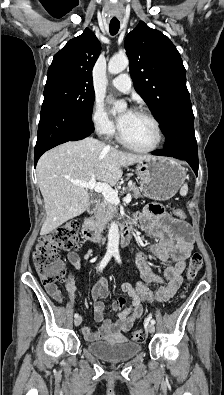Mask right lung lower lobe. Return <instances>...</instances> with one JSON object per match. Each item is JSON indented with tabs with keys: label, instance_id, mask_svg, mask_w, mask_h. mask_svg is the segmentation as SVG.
I'll list each match as a JSON object with an SVG mask.
<instances>
[{
	"label": "right lung lower lobe",
	"instance_id": "obj_1",
	"mask_svg": "<svg viewBox=\"0 0 224 395\" xmlns=\"http://www.w3.org/2000/svg\"><path fill=\"white\" fill-rule=\"evenodd\" d=\"M93 131L91 117L74 113L52 102H43L34 150L35 166L45 151L68 141L84 139Z\"/></svg>",
	"mask_w": 224,
	"mask_h": 395
}]
</instances>
